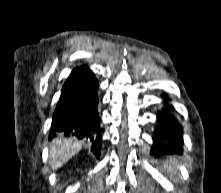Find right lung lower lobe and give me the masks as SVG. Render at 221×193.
Wrapping results in <instances>:
<instances>
[{
    "mask_svg": "<svg viewBox=\"0 0 221 193\" xmlns=\"http://www.w3.org/2000/svg\"><path fill=\"white\" fill-rule=\"evenodd\" d=\"M99 84L93 72L85 66L76 68L66 80L56 106L49 139L66 136L92 145L98 157L101 129L98 113Z\"/></svg>",
    "mask_w": 221,
    "mask_h": 193,
    "instance_id": "98d812e1",
    "label": "right lung lower lobe"
}]
</instances>
